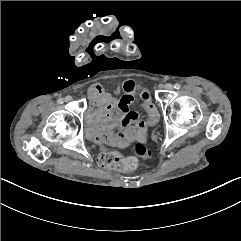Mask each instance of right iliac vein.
I'll return each mask as SVG.
<instances>
[{
	"label": "right iliac vein",
	"mask_w": 241,
	"mask_h": 241,
	"mask_svg": "<svg viewBox=\"0 0 241 241\" xmlns=\"http://www.w3.org/2000/svg\"><path fill=\"white\" fill-rule=\"evenodd\" d=\"M71 100H72L71 96H66L64 99L65 102H70Z\"/></svg>",
	"instance_id": "obj_1"
}]
</instances>
